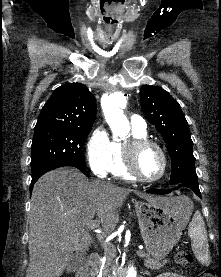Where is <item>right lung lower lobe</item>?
<instances>
[{"instance_id": "obj_1", "label": "right lung lower lobe", "mask_w": 221, "mask_h": 277, "mask_svg": "<svg viewBox=\"0 0 221 277\" xmlns=\"http://www.w3.org/2000/svg\"><path fill=\"white\" fill-rule=\"evenodd\" d=\"M68 166L76 167V168H78L79 170H81L86 176H89L87 170H86L84 167H81V166H78V165H68ZM38 179H39V177H38V178H33V179H32L31 186H30V192H32L33 186H34L35 182H36Z\"/></svg>"}]
</instances>
